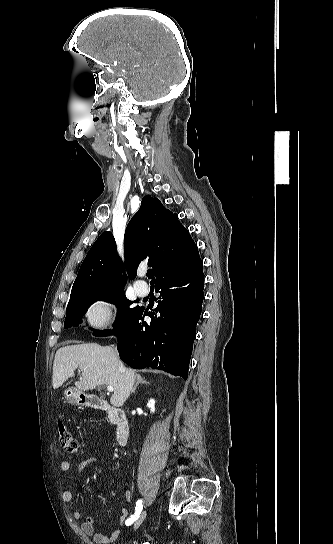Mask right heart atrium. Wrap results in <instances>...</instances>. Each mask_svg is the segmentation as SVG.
Instances as JSON below:
<instances>
[{"mask_svg": "<svg viewBox=\"0 0 333 544\" xmlns=\"http://www.w3.org/2000/svg\"><path fill=\"white\" fill-rule=\"evenodd\" d=\"M114 318V306L107 301L95 303L88 312L89 323L99 329L108 328Z\"/></svg>", "mask_w": 333, "mask_h": 544, "instance_id": "1", "label": "right heart atrium"}]
</instances>
